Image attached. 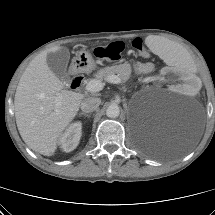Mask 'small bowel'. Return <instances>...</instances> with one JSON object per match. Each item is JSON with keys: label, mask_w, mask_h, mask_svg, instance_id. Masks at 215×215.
I'll return each mask as SVG.
<instances>
[{"label": "small bowel", "mask_w": 215, "mask_h": 215, "mask_svg": "<svg viewBox=\"0 0 215 215\" xmlns=\"http://www.w3.org/2000/svg\"><path fill=\"white\" fill-rule=\"evenodd\" d=\"M143 68L147 69V68H150V65L147 63V64H144L143 65Z\"/></svg>", "instance_id": "1"}]
</instances>
